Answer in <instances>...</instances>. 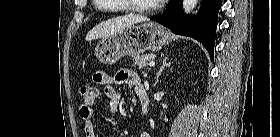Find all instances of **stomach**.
Segmentation results:
<instances>
[{"label":"stomach","instance_id":"0dacf381","mask_svg":"<svg viewBox=\"0 0 280 137\" xmlns=\"http://www.w3.org/2000/svg\"><path fill=\"white\" fill-rule=\"evenodd\" d=\"M170 41V34L162 26L147 22L103 38L95 48V55L101 63L111 65L126 55L136 56L148 50L159 51Z\"/></svg>","mask_w":280,"mask_h":137}]
</instances>
